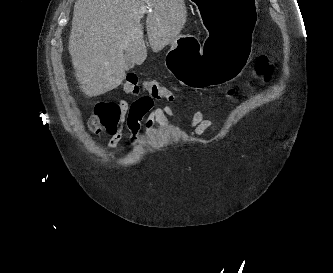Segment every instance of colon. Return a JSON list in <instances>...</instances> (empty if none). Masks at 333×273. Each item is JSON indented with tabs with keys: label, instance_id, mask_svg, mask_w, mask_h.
<instances>
[{
	"label": "colon",
	"instance_id": "obj_1",
	"mask_svg": "<svg viewBox=\"0 0 333 273\" xmlns=\"http://www.w3.org/2000/svg\"><path fill=\"white\" fill-rule=\"evenodd\" d=\"M257 78L267 81L271 77L273 66L266 56H260L255 65ZM143 88L152 100H166L173 102L175 94L168 88L155 80H148L143 83ZM123 91L126 94L136 95L140 92L138 76L129 73L123 84ZM234 89L229 91L230 94ZM120 119V109L118 104L113 102H99L95 105L93 113L88 121V128L94 134L102 132H113L117 129Z\"/></svg>",
	"mask_w": 333,
	"mask_h": 273
}]
</instances>
